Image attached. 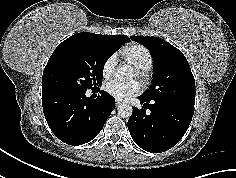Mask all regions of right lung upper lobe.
<instances>
[{
	"mask_svg": "<svg viewBox=\"0 0 236 178\" xmlns=\"http://www.w3.org/2000/svg\"><path fill=\"white\" fill-rule=\"evenodd\" d=\"M71 39H88V40H96V41H106V42H127L130 39L126 35H100V34H94V33H77L71 37H69L66 40Z\"/></svg>",
	"mask_w": 236,
	"mask_h": 178,
	"instance_id": "cb5924a9",
	"label": "right lung upper lobe"
}]
</instances>
